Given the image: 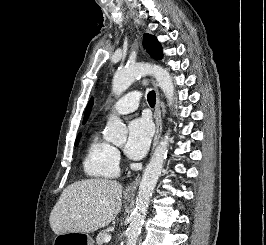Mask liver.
Here are the masks:
<instances>
[{
    "label": "liver",
    "instance_id": "6515ba94",
    "mask_svg": "<svg viewBox=\"0 0 266 245\" xmlns=\"http://www.w3.org/2000/svg\"><path fill=\"white\" fill-rule=\"evenodd\" d=\"M123 187L108 179L77 181L64 189L50 213L55 235L94 233L121 211Z\"/></svg>",
    "mask_w": 266,
    "mask_h": 245
}]
</instances>
